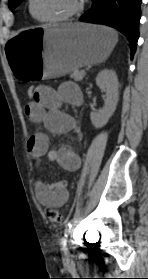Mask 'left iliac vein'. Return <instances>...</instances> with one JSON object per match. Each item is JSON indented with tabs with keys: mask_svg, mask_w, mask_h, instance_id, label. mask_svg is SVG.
Here are the masks:
<instances>
[{
	"mask_svg": "<svg viewBox=\"0 0 148 279\" xmlns=\"http://www.w3.org/2000/svg\"><path fill=\"white\" fill-rule=\"evenodd\" d=\"M62 251L64 252V255L67 257L68 256V249H67V245H66V240L63 241Z\"/></svg>",
	"mask_w": 148,
	"mask_h": 279,
	"instance_id": "left-iliac-vein-1",
	"label": "left iliac vein"
}]
</instances>
